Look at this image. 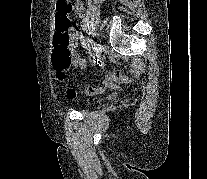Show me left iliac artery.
Returning a JSON list of instances; mask_svg holds the SVG:
<instances>
[{
	"label": "left iliac artery",
	"instance_id": "44dca946",
	"mask_svg": "<svg viewBox=\"0 0 207 179\" xmlns=\"http://www.w3.org/2000/svg\"><path fill=\"white\" fill-rule=\"evenodd\" d=\"M91 50L89 52L90 60L89 63H92L93 58H95V55L97 51L99 50V45L97 44V39H94V44L91 45Z\"/></svg>",
	"mask_w": 207,
	"mask_h": 179
}]
</instances>
